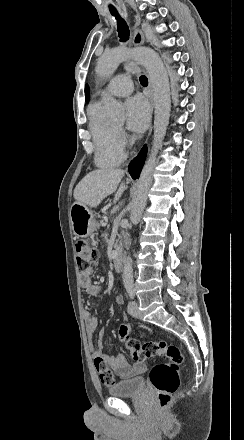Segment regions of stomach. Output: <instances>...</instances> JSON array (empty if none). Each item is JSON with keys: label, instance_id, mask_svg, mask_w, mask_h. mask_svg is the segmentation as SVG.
Masks as SVG:
<instances>
[{"label": "stomach", "instance_id": "stomach-1", "mask_svg": "<svg viewBox=\"0 0 244 440\" xmlns=\"http://www.w3.org/2000/svg\"><path fill=\"white\" fill-rule=\"evenodd\" d=\"M69 218L74 236L88 238L98 230L96 214L81 202H74L69 210Z\"/></svg>", "mask_w": 244, "mask_h": 440}]
</instances>
